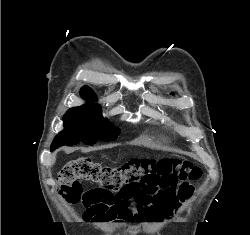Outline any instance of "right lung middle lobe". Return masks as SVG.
Returning <instances> with one entry per match:
<instances>
[{"label": "right lung middle lobe", "instance_id": "right-lung-middle-lobe-1", "mask_svg": "<svg viewBox=\"0 0 250 235\" xmlns=\"http://www.w3.org/2000/svg\"><path fill=\"white\" fill-rule=\"evenodd\" d=\"M63 120L65 129L55 137L51 146H70L79 142L93 145L97 141H114L120 133L93 104L71 108Z\"/></svg>", "mask_w": 250, "mask_h": 235}]
</instances>
